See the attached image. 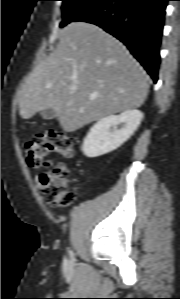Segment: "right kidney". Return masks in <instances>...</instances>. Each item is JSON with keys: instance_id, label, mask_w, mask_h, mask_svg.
I'll return each instance as SVG.
<instances>
[{"instance_id": "ca27d5eb", "label": "right kidney", "mask_w": 180, "mask_h": 299, "mask_svg": "<svg viewBox=\"0 0 180 299\" xmlns=\"http://www.w3.org/2000/svg\"><path fill=\"white\" fill-rule=\"evenodd\" d=\"M141 111L132 109L120 115L101 118L88 132L82 144L83 153L90 158L107 154L127 141L140 125ZM122 124L121 129H117Z\"/></svg>"}]
</instances>
